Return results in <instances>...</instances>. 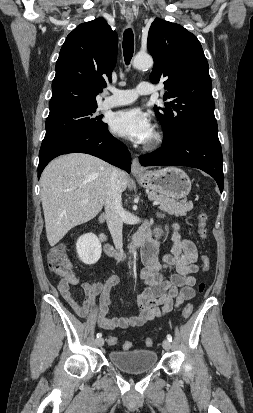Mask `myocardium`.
<instances>
[{
    "label": "myocardium",
    "instance_id": "myocardium-1",
    "mask_svg": "<svg viewBox=\"0 0 253 413\" xmlns=\"http://www.w3.org/2000/svg\"><path fill=\"white\" fill-rule=\"evenodd\" d=\"M163 142V135L160 132H156L151 140L147 143L146 148L149 150L158 148Z\"/></svg>",
    "mask_w": 253,
    "mask_h": 413
}]
</instances>
